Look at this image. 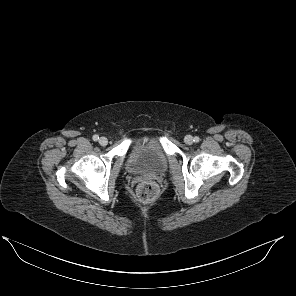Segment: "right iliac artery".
Instances as JSON below:
<instances>
[{"label": "right iliac artery", "mask_w": 296, "mask_h": 296, "mask_svg": "<svg viewBox=\"0 0 296 296\" xmlns=\"http://www.w3.org/2000/svg\"><path fill=\"white\" fill-rule=\"evenodd\" d=\"M98 139H99V136H98V135H94V136H93V140H94V141H98Z\"/></svg>", "instance_id": "right-iliac-artery-1"}]
</instances>
